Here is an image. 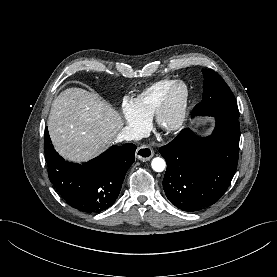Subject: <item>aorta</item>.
Instances as JSON below:
<instances>
[{
    "label": "aorta",
    "mask_w": 277,
    "mask_h": 277,
    "mask_svg": "<svg viewBox=\"0 0 277 277\" xmlns=\"http://www.w3.org/2000/svg\"><path fill=\"white\" fill-rule=\"evenodd\" d=\"M151 166L154 171L162 172L166 167V163L162 158L156 157L152 160Z\"/></svg>",
    "instance_id": "obj_1"
}]
</instances>
